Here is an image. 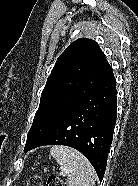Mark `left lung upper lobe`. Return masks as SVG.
Segmentation results:
<instances>
[{"label": "left lung upper lobe", "mask_w": 138, "mask_h": 186, "mask_svg": "<svg viewBox=\"0 0 138 186\" xmlns=\"http://www.w3.org/2000/svg\"><path fill=\"white\" fill-rule=\"evenodd\" d=\"M112 72L98 43L80 38L59 56L41 95L40 105L27 134L32 145Z\"/></svg>", "instance_id": "left-lung-upper-lobe-1"}]
</instances>
